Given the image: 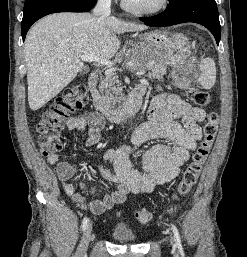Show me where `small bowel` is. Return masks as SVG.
I'll list each match as a JSON object with an SVG mask.
<instances>
[{"instance_id":"small-bowel-1","label":"small bowel","mask_w":247,"mask_h":257,"mask_svg":"<svg viewBox=\"0 0 247 257\" xmlns=\"http://www.w3.org/2000/svg\"><path fill=\"white\" fill-rule=\"evenodd\" d=\"M204 118L203 109L191 106L177 94L160 92L154 96L148 109V120L132 132L129 144L108 149L103 155L104 164L96 163L100 177L117 185L114 192L101 199L86 202L76 191L70 180L78 174L79 166L71 167L66 161L60 160L57 153L47 156V162L55 166L65 193L80 207L99 215L124 202L130 193L148 194L156 185L176 178L180 167L189 159L197 141L202 137L200 122ZM179 119L183 125L178 122ZM66 125L69 130H87L85 145L91 147L99 142L105 122L99 114L90 113L70 117ZM151 139H167L175 145L158 143L150 147L142 158L144 173H140L132 166L129 156L135 147ZM79 186L86 193L93 194L97 191V187L82 181Z\"/></svg>"}]
</instances>
